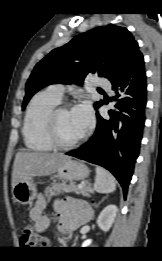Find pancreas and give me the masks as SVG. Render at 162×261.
I'll list each match as a JSON object with an SVG mask.
<instances>
[{
    "label": "pancreas",
    "instance_id": "pancreas-1",
    "mask_svg": "<svg viewBox=\"0 0 162 261\" xmlns=\"http://www.w3.org/2000/svg\"><path fill=\"white\" fill-rule=\"evenodd\" d=\"M70 192L89 196V193L93 192V190L88 182H85L82 188H78L76 185H68L66 182L52 183L51 186H48L45 190L48 200H50L52 196Z\"/></svg>",
    "mask_w": 162,
    "mask_h": 261
}]
</instances>
